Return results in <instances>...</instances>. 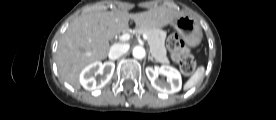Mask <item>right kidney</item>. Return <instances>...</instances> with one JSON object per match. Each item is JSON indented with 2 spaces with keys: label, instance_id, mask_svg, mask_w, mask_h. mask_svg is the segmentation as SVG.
<instances>
[{
  "label": "right kidney",
  "instance_id": "right-kidney-1",
  "mask_svg": "<svg viewBox=\"0 0 276 120\" xmlns=\"http://www.w3.org/2000/svg\"><path fill=\"white\" fill-rule=\"evenodd\" d=\"M115 69L113 62L102 64L97 61L85 67L80 73V83L88 91L98 90L104 87L111 79ZM100 74L101 77L96 80L95 76Z\"/></svg>",
  "mask_w": 276,
  "mask_h": 120
}]
</instances>
